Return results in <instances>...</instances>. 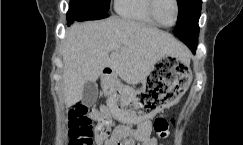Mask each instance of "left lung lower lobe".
I'll list each match as a JSON object with an SVG mask.
<instances>
[{
    "mask_svg": "<svg viewBox=\"0 0 243 145\" xmlns=\"http://www.w3.org/2000/svg\"><path fill=\"white\" fill-rule=\"evenodd\" d=\"M177 25L182 30V33L177 37L183 41L192 50V52H195L198 44V25L191 24L186 18L180 19Z\"/></svg>",
    "mask_w": 243,
    "mask_h": 145,
    "instance_id": "1",
    "label": "left lung lower lobe"
}]
</instances>
